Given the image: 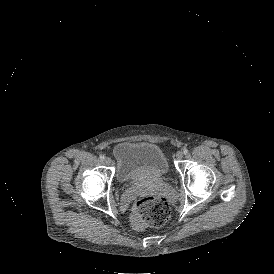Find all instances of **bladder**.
Returning <instances> with one entry per match:
<instances>
[{
  "mask_svg": "<svg viewBox=\"0 0 274 274\" xmlns=\"http://www.w3.org/2000/svg\"><path fill=\"white\" fill-rule=\"evenodd\" d=\"M117 178L122 183L165 177L169 163L163 149L149 142H121L113 149Z\"/></svg>",
  "mask_w": 274,
  "mask_h": 274,
  "instance_id": "bladder-1",
  "label": "bladder"
}]
</instances>
